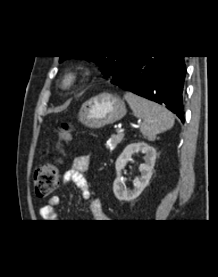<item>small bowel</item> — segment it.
<instances>
[{
	"instance_id": "obj_1",
	"label": "small bowel",
	"mask_w": 218,
	"mask_h": 277,
	"mask_svg": "<svg viewBox=\"0 0 218 277\" xmlns=\"http://www.w3.org/2000/svg\"><path fill=\"white\" fill-rule=\"evenodd\" d=\"M89 167L90 157L87 155H79L72 160L71 167L63 175V182H73L76 187L80 189L81 195L85 200H90L92 197L89 184L83 175ZM59 202V196H54L49 200L47 205L40 208L39 213L43 220L51 222L58 218L55 207L59 204ZM90 210L94 220H102L105 218L102 204L99 199L91 200Z\"/></svg>"
}]
</instances>
